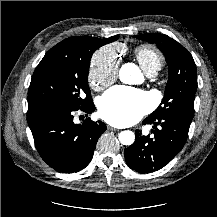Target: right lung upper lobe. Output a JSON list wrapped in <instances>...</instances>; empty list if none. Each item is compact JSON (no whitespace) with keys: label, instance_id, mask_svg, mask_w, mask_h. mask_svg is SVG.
I'll list each match as a JSON object with an SVG mask.
<instances>
[{"label":"right lung upper lobe","instance_id":"right-lung-upper-lobe-1","mask_svg":"<svg viewBox=\"0 0 217 217\" xmlns=\"http://www.w3.org/2000/svg\"><path fill=\"white\" fill-rule=\"evenodd\" d=\"M85 37H87V36L70 37V38H67V39L63 40L60 43L77 42V41H80V40L84 39ZM96 39L100 43V45L103 46V45L108 44L110 42L116 41L118 39V36H113V37L105 38V39H98V38H96Z\"/></svg>","mask_w":217,"mask_h":217}]
</instances>
